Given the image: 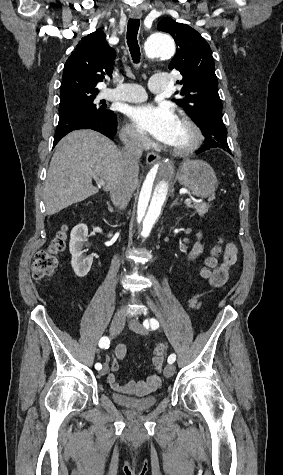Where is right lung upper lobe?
I'll use <instances>...</instances> for the list:
<instances>
[{"label": "right lung upper lobe", "instance_id": "obj_1", "mask_svg": "<svg viewBox=\"0 0 283 475\" xmlns=\"http://www.w3.org/2000/svg\"><path fill=\"white\" fill-rule=\"evenodd\" d=\"M115 57L101 29L82 38L65 63L61 92L98 93L97 84L111 76Z\"/></svg>", "mask_w": 283, "mask_h": 475}]
</instances>
